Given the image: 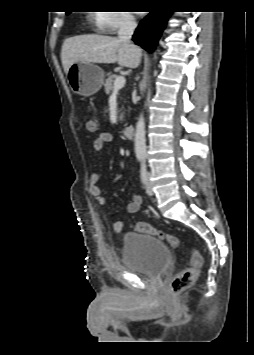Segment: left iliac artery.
I'll return each instance as SVG.
<instances>
[{
	"label": "left iliac artery",
	"mask_w": 254,
	"mask_h": 355,
	"mask_svg": "<svg viewBox=\"0 0 254 355\" xmlns=\"http://www.w3.org/2000/svg\"><path fill=\"white\" fill-rule=\"evenodd\" d=\"M146 176H147V173H146V165L145 163L143 162L142 163V166H141V179L142 181L145 183L146 181Z\"/></svg>",
	"instance_id": "left-iliac-artery-1"
}]
</instances>
